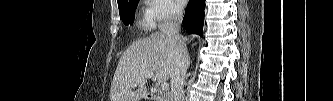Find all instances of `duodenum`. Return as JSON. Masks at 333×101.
I'll use <instances>...</instances> for the list:
<instances>
[{
  "mask_svg": "<svg viewBox=\"0 0 333 101\" xmlns=\"http://www.w3.org/2000/svg\"><path fill=\"white\" fill-rule=\"evenodd\" d=\"M148 99L155 100V97L153 95L148 96Z\"/></svg>",
  "mask_w": 333,
  "mask_h": 101,
  "instance_id": "410a0bca",
  "label": "duodenum"
}]
</instances>
